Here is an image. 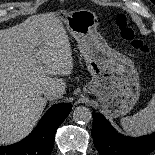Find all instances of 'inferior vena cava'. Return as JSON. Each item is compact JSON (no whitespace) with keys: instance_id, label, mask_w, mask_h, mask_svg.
<instances>
[{"instance_id":"inferior-vena-cava-1","label":"inferior vena cava","mask_w":155,"mask_h":155,"mask_svg":"<svg viewBox=\"0 0 155 155\" xmlns=\"http://www.w3.org/2000/svg\"><path fill=\"white\" fill-rule=\"evenodd\" d=\"M43 94L48 100H54L56 98H60L63 93L60 89H57L55 87H49L45 89Z\"/></svg>"}]
</instances>
